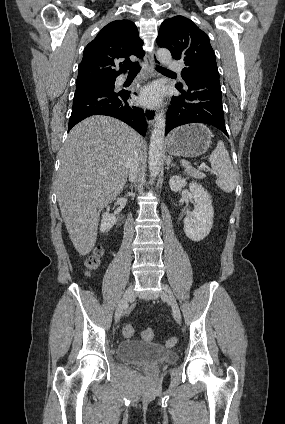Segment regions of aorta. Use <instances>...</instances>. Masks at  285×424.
Listing matches in <instances>:
<instances>
[{"instance_id": "obj_1", "label": "aorta", "mask_w": 285, "mask_h": 424, "mask_svg": "<svg viewBox=\"0 0 285 424\" xmlns=\"http://www.w3.org/2000/svg\"><path fill=\"white\" fill-rule=\"evenodd\" d=\"M157 58L160 63L167 65L171 62L172 56L168 49L161 48L157 51ZM166 119L163 112L156 115L154 128L149 145V171L150 176L155 178L160 171L162 161V149L165 134Z\"/></svg>"}]
</instances>
